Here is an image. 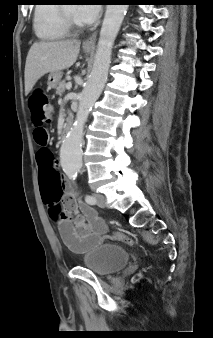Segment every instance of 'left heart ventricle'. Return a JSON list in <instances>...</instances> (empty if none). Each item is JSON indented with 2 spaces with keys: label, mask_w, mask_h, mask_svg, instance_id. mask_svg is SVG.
<instances>
[{
  "label": "left heart ventricle",
  "mask_w": 213,
  "mask_h": 338,
  "mask_svg": "<svg viewBox=\"0 0 213 338\" xmlns=\"http://www.w3.org/2000/svg\"><path fill=\"white\" fill-rule=\"evenodd\" d=\"M66 10L74 19H76V7H75V5H67Z\"/></svg>",
  "instance_id": "1"
}]
</instances>
